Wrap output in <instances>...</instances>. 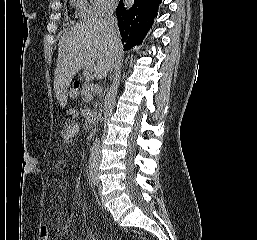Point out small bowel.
Instances as JSON below:
<instances>
[{"label":"small bowel","instance_id":"1","mask_svg":"<svg viewBox=\"0 0 257 240\" xmlns=\"http://www.w3.org/2000/svg\"><path fill=\"white\" fill-rule=\"evenodd\" d=\"M72 220L70 218H65L59 227L55 240H61L64 237H67L71 233Z\"/></svg>","mask_w":257,"mask_h":240}]
</instances>
